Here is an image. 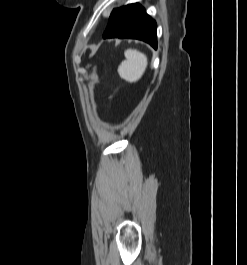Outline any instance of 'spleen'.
<instances>
[{"label": "spleen", "instance_id": "3e777b00", "mask_svg": "<svg viewBox=\"0 0 247 265\" xmlns=\"http://www.w3.org/2000/svg\"><path fill=\"white\" fill-rule=\"evenodd\" d=\"M125 60L118 67L119 76L127 82H137L147 67V57L134 49H128L124 53Z\"/></svg>", "mask_w": 247, "mask_h": 265}]
</instances>
